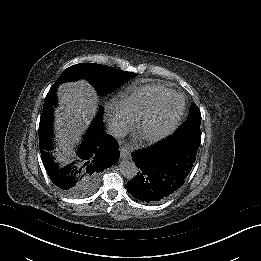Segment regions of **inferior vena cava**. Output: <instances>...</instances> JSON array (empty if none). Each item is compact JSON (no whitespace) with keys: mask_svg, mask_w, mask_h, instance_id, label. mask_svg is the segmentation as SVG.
I'll return each instance as SVG.
<instances>
[{"mask_svg":"<svg viewBox=\"0 0 261 261\" xmlns=\"http://www.w3.org/2000/svg\"><path fill=\"white\" fill-rule=\"evenodd\" d=\"M106 133L115 139H121L126 135V128L116 119L110 118L106 120Z\"/></svg>","mask_w":261,"mask_h":261,"instance_id":"1","label":"inferior vena cava"}]
</instances>
